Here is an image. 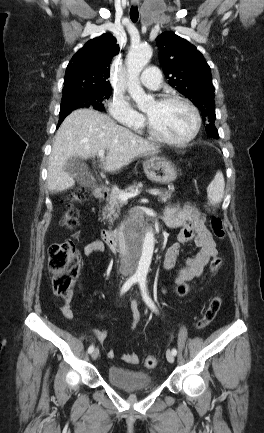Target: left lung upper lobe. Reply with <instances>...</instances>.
<instances>
[{
    "mask_svg": "<svg viewBox=\"0 0 264 433\" xmlns=\"http://www.w3.org/2000/svg\"><path fill=\"white\" fill-rule=\"evenodd\" d=\"M156 42L168 83L199 108L207 123L206 132L218 139L211 70L203 55L172 32L160 34Z\"/></svg>",
    "mask_w": 264,
    "mask_h": 433,
    "instance_id": "left-lung-upper-lobe-1",
    "label": "left lung upper lobe"
}]
</instances>
